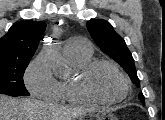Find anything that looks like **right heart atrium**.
Listing matches in <instances>:
<instances>
[{"label":"right heart atrium","mask_w":165,"mask_h":120,"mask_svg":"<svg viewBox=\"0 0 165 120\" xmlns=\"http://www.w3.org/2000/svg\"><path fill=\"white\" fill-rule=\"evenodd\" d=\"M27 89L36 97L56 99L59 91V82L53 76L49 63L40 54L28 66L25 76Z\"/></svg>","instance_id":"d8ad5b80"}]
</instances>
